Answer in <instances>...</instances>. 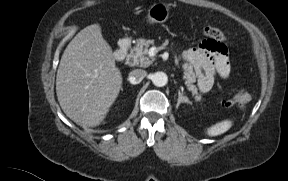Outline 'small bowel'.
<instances>
[{
    "mask_svg": "<svg viewBox=\"0 0 288 181\" xmlns=\"http://www.w3.org/2000/svg\"><path fill=\"white\" fill-rule=\"evenodd\" d=\"M188 55L195 64L198 83L203 90L213 87L215 74L221 78L229 75L230 65L227 55L223 51L213 49L207 43L202 47L191 49Z\"/></svg>",
    "mask_w": 288,
    "mask_h": 181,
    "instance_id": "1",
    "label": "small bowel"
}]
</instances>
